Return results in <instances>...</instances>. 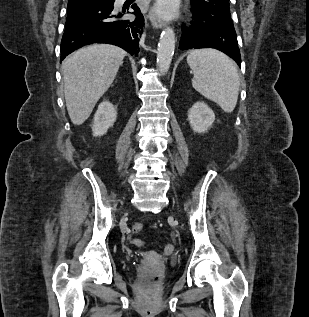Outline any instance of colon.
I'll return each mask as SVG.
<instances>
[{
	"label": "colon",
	"instance_id": "colon-1",
	"mask_svg": "<svg viewBox=\"0 0 309 317\" xmlns=\"http://www.w3.org/2000/svg\"><path fill=\"white\" fill-rule=\"evenodd\" d=\"M142 229H143V224L140 223V222H136V223H134L133 226H132V231H133L134 233H139V232L142 231ZM131 243H132V245H134V246H136V247H141V246L144 245L143 240L138 239V238L132 239V240H131ZM165 250H166L167 252H171V251L173 250V247H172L171 245H167V246L165 247Z\"/></svg>",
	"mask_w": 309,
	"mask_h": 317
}]
</instances>
